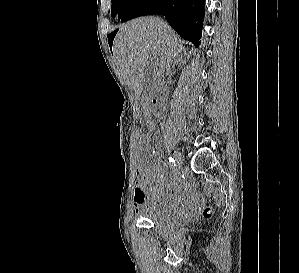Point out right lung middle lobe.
<instances>
[{"instance_id": "dd1d6c3e", "label": "right lung middle lobe", "mask_w": 299, "mask_h": 273, "mask_svg": "<svg viewBox=\"0 0 299 273\" xmlns=\"http://www.w3.org/2000/svg\"><path fill=\"white\" fill-rule=\"evenodd\" d=\"M136 0H111V16L121 19Z\"/></svg>"}]
</instances>
